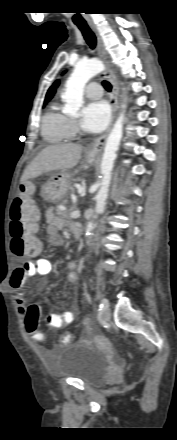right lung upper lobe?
I'll list each match as a JSON object with an SVG mask.
<instances>
[{"label": "right lung upper lobe", "instance_id": "obj_1", "mask_svg": "<svg viewBox=\"0 0 177 440\" xmlns=\"http://www.w3.org/2000/svg\"><path fill=\"white\" fill-rule=\"evenodd\" d=\"M59 85V81H56L48 90L46 97H45V102H48L54 95L56 88Z\"/></svg>", "mask_w": 177, "mask_h": 440}]
</instances>
